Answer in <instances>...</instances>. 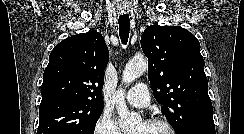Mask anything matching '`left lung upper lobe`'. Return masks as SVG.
<instances>
[{
	"label": "left lung upper lobe",
	"instance_id": "obj_1",
	"mask_svg": "<svg viewBox=\"0 0 244 134\" xmlns=\"http://www.w3.org/2000/svg\"><path fill=\"white\" fill-rule=\"evenodd\" d=\"M154 97L177 134L214 126L198 39L178 26L151 25L141 36Z\"/></svg>",
	"mask_w": 244,
	"mask_h": 134
}]
</instances>
